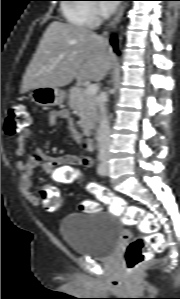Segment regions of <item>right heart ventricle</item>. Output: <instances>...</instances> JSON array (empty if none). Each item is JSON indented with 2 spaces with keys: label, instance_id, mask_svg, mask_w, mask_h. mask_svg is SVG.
<instances>
[{
  "label": "right heart ventricle",
  "instance_id": "e07e8e85",
  "mask_svg": "<svg viewBox=\"0 0 180 299\" xmlns=\"http://www.w3.org/2000/svg\"><path fill=\"white\" fill-rule=\"evenodd\" d=\"M63 13L66 20L77 27H91L95 23L94 12L91 4H65L63 7Z\"/></svg>",
  "mask_w": 180,
  "mask_h": 299
}]
</instances>
